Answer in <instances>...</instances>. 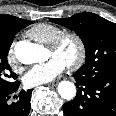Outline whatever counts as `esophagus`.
I'll return each instance as SVG.
<instances>
[{
    "instance_id": "34e87169",
    "label": "esophagus",
    "mask_w": 116,
    "mask_h": 116,
    "mask_svg": "<svg viewBox=\"0 0 116 116\" xmlns=\"http://www.w3.org/2000/svg\"><path fill=\"white\" fill-rule=\"evenodd\" d=\"M47 86H49V87H53V86H55L56 84L54 83V82H51V83H48V84H46Z\"/></svg>"
}]
</instances>
